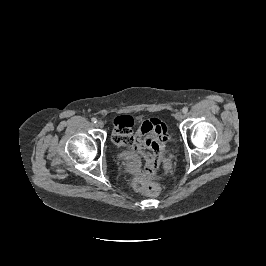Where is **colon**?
I'll use <instances>...</instances> for the list:
<instances>
[{"instance_id": "obj_1", "label": "colon", "mask_w": 266, "mask_h": 266, "mask_svg": "<svg viewBox=\"0 0 266 266\" xmlns=\"http://www.w3.org/2000/svg\"><path fill=\"white\" fill-rule=\"evenodd\" d=\"M133 185L137 191L147 196H158L161 193V187L143 175L137 176L133 181Z\"/></svg>"}]
</instances>
